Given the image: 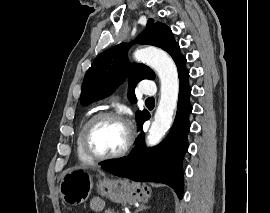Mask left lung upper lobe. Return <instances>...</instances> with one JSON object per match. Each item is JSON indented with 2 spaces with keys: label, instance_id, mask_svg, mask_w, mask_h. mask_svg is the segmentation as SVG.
<instances>
[{
  "label": "left lung upper lobe",
  "instance_id": "left-lung-upper-lobe-1",
  "mask_svg": "<svg viewBox=\"0 0 270 213\" xmlns=\"http://www.w3.org/2000/svg\"><path fill=\"white\" fill-rule=\"evenodd\" d=\"M137 41L140 44L154 45L167 51L176 63L178 73L186 69V58L180 53L179 44L174 40L171 29L163 23L154 24L153 19L147 22V29L142 32ZM128 44L116 45L93 61L88 69L81 94V103L89 104L110 95L126 78L129 82V99L135 102L134 88L143 79H154V72L146 65L133 63L127 58ZM148 114L146 110L137 111L136 117L140 123Z\"/></svg>",
  "mask_w": 270,
  "mask_h": 213
}]
</instances>
